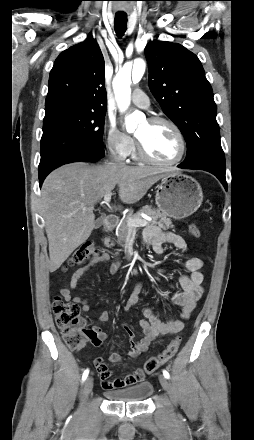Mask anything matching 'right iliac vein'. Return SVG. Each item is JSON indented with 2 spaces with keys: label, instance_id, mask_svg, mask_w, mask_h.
I'll return each mask as SVG.
<instances>
[{
  "label": "right iliac vein",
  "instance_id": "63e3f726",
  "mask_svg": "<svg viewBox=\"0 0 254 440\" xmlns=\"http://www.w3.org/2000/svg\"><path fill=\"white\" fill-rule=\"evenodd\" d=\"M93 388V379L91 377L87 378L83 384L82 387V403L80 406V410L83 409L86 399L88 398V395L92 391Z\"/></svg>",
  "mask_w": 254,
  "mask_h": 440
}]
</instances>
